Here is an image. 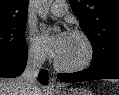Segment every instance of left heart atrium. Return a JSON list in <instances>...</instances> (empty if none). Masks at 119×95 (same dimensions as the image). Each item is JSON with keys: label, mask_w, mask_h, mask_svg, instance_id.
Instances as JSON below:
<instances>
[{"label": "left heart atrium", "mask_w": 119, "mask_h": 95, "mask_svg": "<svg viewBox=\"0 0 119 95\" xmlns=\"http://www.w3.org/2000/svg\"><path fill=\"white\" fill-rule=\"evenodd\" d=\"M70 35L71 33L64 31L59 35L52 37L49 30L47 28H43L41 42L45 46L46 50L57 59L62 54Z\"/></svg>", "instance_id": "39dd6f15"}]
</instances>
